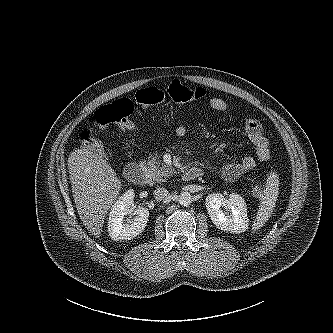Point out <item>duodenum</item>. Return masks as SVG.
I'll return each mask as SVG.
<instances>
[{"instance_id":"410a0bca","label":"duodenum","mask_w":333,"mask_h":333,"mask_svg":"<svg viewBox=\"0 0 333 333\" xmlns=\"http://www.w3.org/2000/svg\"><path fill=\"white\" fill-rule=\"evenodd\" d=\"M125 178L134 185H142L146 182V175L142 166L138 163H129L124 169ZM202 175V170L198 167L187 169L182 178L184 181H192Z\"/></svg>"}]
</instances>
